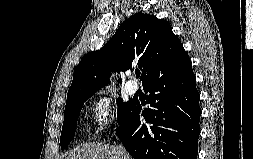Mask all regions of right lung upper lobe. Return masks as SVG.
I'll return each mask as SVG.
<instances>
[{"mask_svg":"<svg viewBox=\"0 0 253 159\" xmlns=\"http://www.w3.org/2000/svg\"><path fill=\"white\" fill-rule=\"evenodd\" d=\"M133 65L141 69L144 87L181 72L191 60L169 23L137 13L119 26L102 49L82 58L74 71L66 104L93 95L108 84L112 71H126Z\"/></svg>","mask_w":253,"mask_h":159,"instance_id":"cb5924a9","label":"right lung upper lobe"}]
</instances>
